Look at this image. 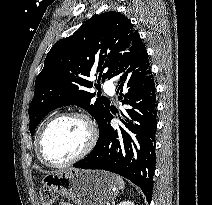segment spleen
Listing matches in <instances>:
<instances>
[{
	"mask_svg": "<svg viewBox=\"0 0 212 205\" xmlns=\"http://www.w3.org/2000/svg\"><path fill=\"white\" fill-rule=\"evenodd\" d=\"M116 180H117V183H118L119 188L120 189H124L125 182L123 181V179L120 176H117L116 177Z\"/></svg>",
	"mask_w": 212,
	"mask_h": 205,
	"instance_id": "spleen-1",
	"label": "spleen"
}]
</instances>
